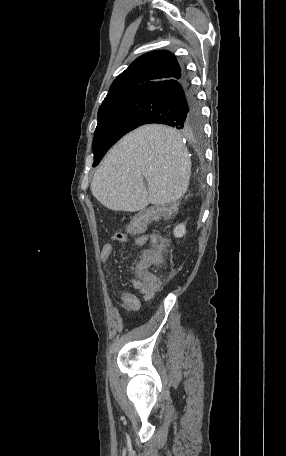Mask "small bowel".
Returning a JSON list of instances; mask_svg holds the SVG:
<instances>
[{
  "label": "small bowel",
  "mask_w": 286,
  "mask_h": 456,
  "mask_svg": "<svg viewBox=\"0 0 286 456\" xmlns=\"http://www.w3.org/2000/svg\"><path fill=\"white\" fill-rule=\"evenodd\" d=\"M114 239L124 242L127 240V234L123 233L121 236H119V238H114ZM147 242H148L147 235L141 234L135 238V245L139 248L144 247L147 244ZM112 253H113V244L105 243L100 250V257L104 262H107L110 259ZM132 285L135 289L138 290L140 295L143 297L144 301L151 302L154 299L155 291H147L145 289L138 288L136 286L134 279L132 280ZM118 299L119 300L117 302V306L123 311L129 312V313H135L140 308V305H141L140 299L134 293L127 292V291H120L118 293Z\"/></svg>",
  "instance_id": "1"
}]
</instances>
